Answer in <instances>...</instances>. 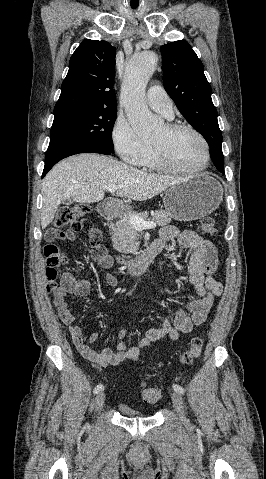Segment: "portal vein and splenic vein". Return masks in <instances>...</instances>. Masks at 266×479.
<instances>
[{
    "label": "portal vein and splenic vein",
    "mask_w": 266,
    "mask_h": 479,
    "mask_svg": "<svg viewBox=\"0 0 266 479\" xmlns=\"http://www.w3.org/2000/svg\"><path fill=\"white\" fill-rule=\"evenodd\" d=\"M120 186H116V185H109L107 187V190L110 192V193H114L116 192V190L119 188ZM130 223L131 225L136 229V230H143V229H152V228H155L156 227V223L154 222H146L144 221L141 217L139 216H131L130 218Z\"/></svg>",
    "instance_id": "18ae733b"
}]
</instances>
